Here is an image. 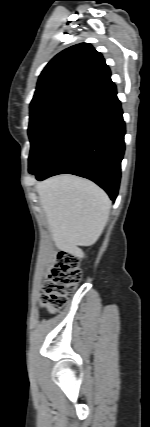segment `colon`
I'll return each mask as SVG.
<instances>
[{"label": "colon", "mask_w": 150, "mask_h": 427, "mask_svg": "<svg viewBox=\"0 0 150 427\" xmlns=\"http://www.w3.org/2000/svg\"><path fill=\"white\" fill-rule=\"evenodd\" d=\"M81 275L78 257L70 252H59L44 282L43 307L50 312L62 309L80 282Z\"/></svg>", "instance_id": "obj_1"}]
</instances>
